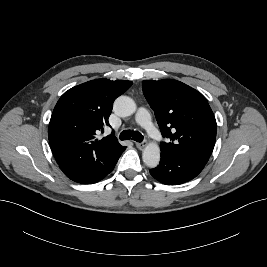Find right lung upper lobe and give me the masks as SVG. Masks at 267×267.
I'll return each mask as SVG.
<instances>
[{"instance_id":"obj_1","label":"right lung upper lobe","mask_w":267,"mask_h":267,"mask_svg":"<svg viewBox=\"0 0 267 267\" xmlns=\"http://www.w3.org/2000/svg\"><path fill=\"white\" fill-rule=\"evenodd\" d=\"M133 83L128 80H92L66 91L58 100L48 129L51 150L59 165H99L122 146L112 134L96 139L109 125L114 100Z\"/></svg>"}]
</instances>
